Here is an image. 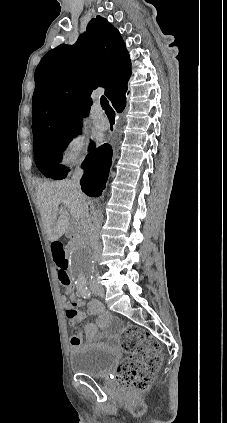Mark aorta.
I'll return each instance as SVG.
<instances>
[{
    "label": "aorta",
    "mask_w": 227,
    "mask_h": 423,
    "mask_svg": "<svg viewBox=\"0 0 227 423\" xmlns=\"http://www.w3.org/2000/svg\"><path fill=\"white\" fill-rule=\"evenodd\" d=\"M93 270L91 250L87 246L75 249L70 257L69 273L75 279L77 285L83 286L88 282Z\"/></svg>",
    "instance_id": "1"
}]
</instances>
